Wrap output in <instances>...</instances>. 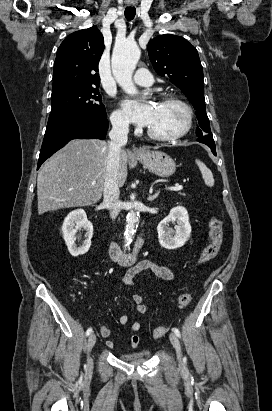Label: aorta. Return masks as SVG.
Segmentation results:
<instances>
[{"instance_id":"obj_1","label":"aorta","mask_w":272,"mask_h":411,"mask_svg":"<svg viewBox=\"0 0 272 411\" xmlns=\"http://www.w3.org/2000/svg\"><path fill=\"white\" fill-rule=\"evenodd\" d=\"M140 58V49L135 42L126 41L115 46L112 54V72L117 83L128 94H136L137 89L132 82V74ZM138 216L131 210L126 216L124 231L125 247L129 246L133 240L138 223Z\"/></svg>"}]
</instances>
